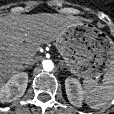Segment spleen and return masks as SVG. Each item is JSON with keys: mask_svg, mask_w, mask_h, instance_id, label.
Returning <instances> with one entry per match:
<instances>
[{"mask_svg": "<svg viewBox=\"0 0 114 114\" xmlns=\"http://www.w3.org/2000/svg\"><path fill=\"white\" fill-rule=\"evenodd\" d=\"M83 95L85 102L92 109H100L114 98V67L105 74L101 84L92 80L84 81Z\"/></svg>", "mask_w": 114, "mask_h": 114, "instance_id": "obj_1", "label": "spleen"}]
</instances>
